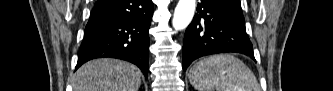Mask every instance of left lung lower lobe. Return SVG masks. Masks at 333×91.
<instances>
[{
    "mask_svg": "<svg viewBox=\"0 0 333 91\" xmlns=\"http://www.w3.org/2000/svg\"><path fill=\"white\" fill-rule=\"evenodd\" d=\"M224 52L242 53L255 60L240 0H201L185 32L183 69L199 57Z\"/></svg>",
    "mask_w": 333,
    "mask_h": 91,
    "instance_id": "left-lung-lower-lobe-1",
    "label": "left lung lower lobe"
}]
</instances>
